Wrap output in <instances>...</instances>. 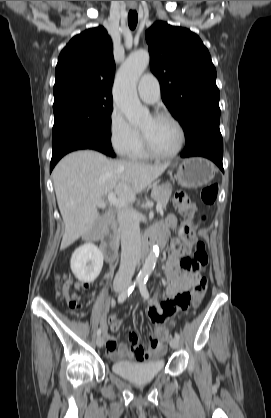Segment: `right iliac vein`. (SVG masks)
Segmentation results:
<instances>
[{
	"instance_id": "obj_1",
	"label": "right iliac vein",
	"mask_w": 271,
	"mask_h": 418,
	"mask_svg": "<svg viewBox=\"0 0 271 418\" xmlns=\"http://www.w3.org/2000/svg\"><path fill=\"white\" fill-rule=\"evenodd\" d=\"M114 290H115V292H117V293L122 292V290H123V286H121V285L115 286V287H114ZM96 344H97V346H98L99 348H101V347L104 345V338H103V336H98V337H97V339H96Z\"/></svg>"
}]
</instances>
